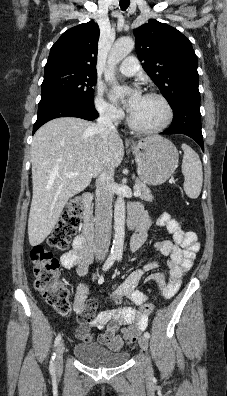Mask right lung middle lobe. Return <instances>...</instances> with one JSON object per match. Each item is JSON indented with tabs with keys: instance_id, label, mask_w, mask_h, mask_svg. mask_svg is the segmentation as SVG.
Masks as SVG:
<instances>
[{
	"instance_id": "obj_1",
	"label": "right lung middle lobe",
	"mask_w": 227,
	"mask_h": 396,
	"mask_svg": "<svg viewBox=\"0 0 227 396\" xmlns=\"http://www.w3.org/2000/svg\"><path fill=\"white\" fill-rule=\"evenodd\" d=\"M97 75L71 70H50L44 72L41 100L62 96L83 104L94 106V89Z\"/></svg>"
}]
</instances>
